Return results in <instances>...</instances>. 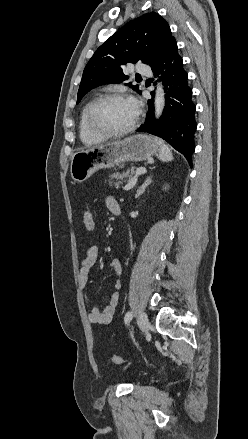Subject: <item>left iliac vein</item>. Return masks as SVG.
Instances as JSON below:
<instances>
[{
    "instance_id": "1",
    "label": "left iliac vein",
    "mask_w": 248,
    "mask_h": 439,
    "mask_svg": "<svg viewBox=\"0 0 248 439\" xmlns=\"http://www.w3.org/2000/svg\"><path fill=\"white\" fill-rule=\"evenodd\" d=\"M138 324L141 328V331L145 333L149 327V320L145 312H141L138 317Z\"/></svg>"
}]
</instances>
